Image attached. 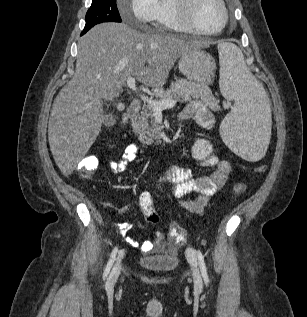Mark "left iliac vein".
<instances>
[{
  "instance_id": "1",
  "label": "left iliac vein",
  "mask_w": 307,
  "mask_h": 317,
  "mask_svg": "<svg viewBox=\"0 0 307 317\" xmlns=\"http://www.w3.org/2000/svg\"><path fill=\"white\" fill-rule=\"evenodd\" d=\"M186 256H187V260L191 266L194 284L196 287L201 288L202 287V279H201L200 272H199L198 267H197L196 255H195L194 250L192 248H188L186 250Z\"/></svg>"
}]
</instances>
